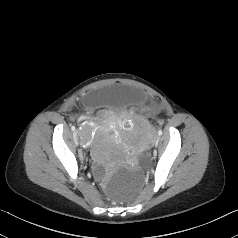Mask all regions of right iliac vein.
<instances>
[{
	"label": "right iliac vein",
	"mask_w": 238,
	"mask_h": 238,
	"mask_svg": "<svg viewBox=\"0 0 238 238\" xmlns=\"http://www.w3.org/2000/svg\"><path fill=\"white\" fill-rule=\"evenodd\" d=\"M77 134H78V131L77 130L74 131V133H73V141H74L75 147H79V144H78L77 138H76Z\"/></svg>",
	"instance_id": "1"
}]
</instances>
